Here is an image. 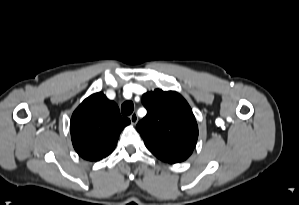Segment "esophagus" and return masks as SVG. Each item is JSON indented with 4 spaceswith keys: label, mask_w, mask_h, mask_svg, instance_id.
I'll list each match as a JSON object with an SVG mask.
<instances>
[{
    "label": "esophagus",
    "mask_w": 299,
    "mask_h": 205,
    "mask_svg": "<svg viewBox=\"0 0 299 205\" xmlns=\"http://www.w3.org/2000/svg\"><path fill=\"white\" fill-rule=\"evenodd\" d=\"M130 121L133 125H135L138 122V116L136 113L130 115Z\"/></svg>",
    "instance_id": "esophagus-1"
}]
</instances>
